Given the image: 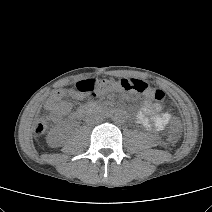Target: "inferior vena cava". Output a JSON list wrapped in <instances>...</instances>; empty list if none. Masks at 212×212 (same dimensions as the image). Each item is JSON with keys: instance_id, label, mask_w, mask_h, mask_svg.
Returning <instances> with one entry per match:
<instances>
[{"instance_id": "1", "label": "inferior vena cava", "mask_w": 212, "mask_h": 212, "mask_svg": "<svg viewBox=\"0 0 212 212\" xmlns=\"http://www.w3.org/2000/svg\"><path fill=\"white\" fill-rule=\"evenodd\" d=\"M99 121H100V119H99L98 117H87V118H86V122H87L88 124L97 123V122H99Z\"/></svg>"}]
</instances>
